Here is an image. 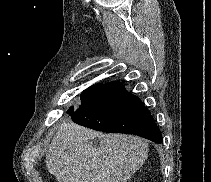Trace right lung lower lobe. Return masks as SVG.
I'll use <instances>...</instances> for the list:
<instances>
[{"label":"right lung lower lobe","mask_w":211,"mask_h":182,"mask_svg":"<svg viewBox=\"0 0 211 182\" xmlns=\"http://www.w3.org/2000/svg\"><path fill=\"white\" fill-rule=\"evenodd\" d=\"M78 109L67 111L77 124L108 133H127L162 143L150 111L119 81L93 85L80 94Z\"/></svg>","instance_id":"right-lung-lower-lobe-1"}]
</instances>
